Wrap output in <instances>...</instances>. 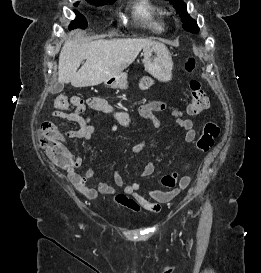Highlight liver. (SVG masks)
Segmentation results:
<instances>
[{"instance_id": "liver-1", "label": "liver", "mask_w": 261, "mask_h": 273, "mask_svg": "<svg viewBox=\"0 0 261 273\" xmlns=\"http://www.w3.org/2000/svg\"><path fill=\"white\" fill-rule=\"evenodd\" d=\"M74 34L75 39L69 38L61 49L58 80L71 83L76 88L95 86L117 75L134 62L145 46L152 43L150 39L142 38L80 43L81 32L76 30L71 33ZM83 60L85 63L78 70Z\"/></svg>"}]
</instances>
